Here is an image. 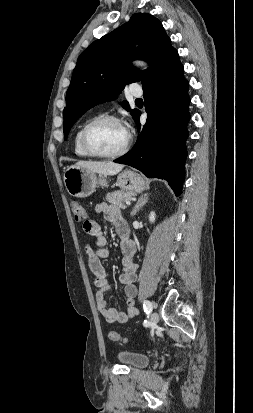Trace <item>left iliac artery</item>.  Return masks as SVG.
<instances>
[{
  "mask_svg": "<svg viewBox=\"0 0 253 413\" xmlns=\"http://www.w3.org/2000/svg\"><path fill=\"white\" fill-rule=\"evenodd\" d=\"M143 307L146 314H150L152 312L153 307L150 301L145 300L143 302Z\"/></svg>",
  "mask_w": 253,
  "mask_h": 413,
  "instance_id": "obj_1",
  "label": "left iliac artery"
}]
</instances>
